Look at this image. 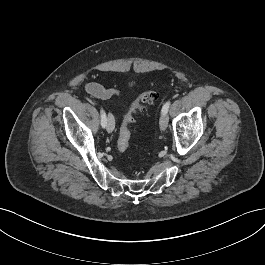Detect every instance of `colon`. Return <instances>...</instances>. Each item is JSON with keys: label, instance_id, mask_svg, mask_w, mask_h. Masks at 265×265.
<instances>
[{"label": "colon", "instance_id": "5ec220e1", "mask_svg": "<svg viewBox=\"0 0 265 265\" xmlns=\"http://www.w3.org/2000/svg\"><path fill=\"white\" fill-rule=\"evenodd\" d=\"M158 94L154 90H148L143 92L137 100L131 105V107L126 112L123 123L121 125L118 139H117V149L119 152H125L129 146V141L131 137L130 125L134 121L133 115L138 111H144V104H151ZM140 158L143 159L144 155H140Z\"/></svg>", "mask_w": 265, "mask_h": 265}]
</instances>
